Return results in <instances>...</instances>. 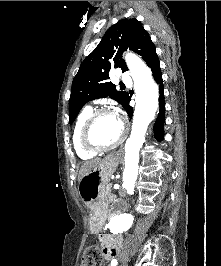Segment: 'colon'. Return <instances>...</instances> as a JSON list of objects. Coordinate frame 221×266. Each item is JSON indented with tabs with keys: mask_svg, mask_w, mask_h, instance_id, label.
Here are the masks:
<instances>
[{
	"mask_svg": "<svg viewBox=\"0 0 221 266\" xmlns=\"http://www.w3.org/2000/svg\"><path fill=\"white\" fill-rule=\"evenodd\" d=\"M102 263V256L97 245L88 246L82 255L81 266H100Z\"/></svg>",
	"mask_w": 221,
	"mask_h": 266,
	"instance_id": "obj_1",
	"label": "colon"
}]
</instances>
